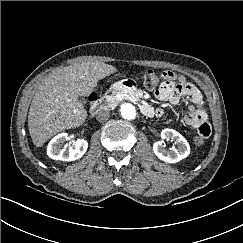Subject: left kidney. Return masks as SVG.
<instances>
[{
	"mask_svg": "<svg viewBox=\"0 0 243 243\" xmlns=\"http://www.w3.org/2000/svg\"><path fill=\"white\" fill-rule=\"evenodd\" d=\"M162 139H171L177 143V148L172 147L165 149L163 141H157L153 144L154 154L166 163H176L186 158L190 153V146L187 140L177 131L173 129H164L161 132Z\"/></svg>",
	"mask_w": 243,
	"mask_h": 243,
	"instance_id": "5707ae66",
	"label": "left kidney"
}]
</instances>
